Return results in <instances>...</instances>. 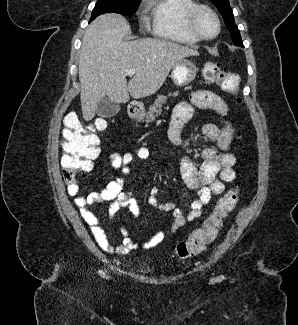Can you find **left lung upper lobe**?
<instances>
[{
  "label": "left lung upper lobe",
  "mask_w": 298,
  "mask_h": 325,
  "mask_svg": "<svg viewBox=\"0 0 298 325\" xmlns=\"http://www.w3.org/2000/svg\"><path fill=\"white\" fill-rule=\"evenodd\" d=\"M211 1L220 11L224 19V22L231 33V38L233 43L235 45L241 46L242 40H241L240 32L234 22V15L229 5V0H211Z\"/></svg>",
  "instance_id": "1"
}]
</instances>
